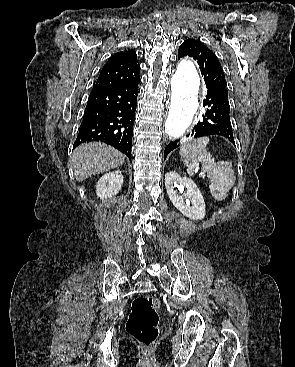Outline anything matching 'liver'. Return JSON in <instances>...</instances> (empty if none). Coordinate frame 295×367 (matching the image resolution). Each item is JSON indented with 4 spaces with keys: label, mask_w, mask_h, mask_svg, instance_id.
I'll list each match as a JSON object with an SVG mask.
<instances>
[{
    "label": "liver",
    "mask_w": 295,
    "mask_h": 367,
    "mask_svg": "<svg viewBox=\"0 0 295 367\" xmlns=\"http://www.w3.org/2000/svg\"><path fill=\"white\" fill-rule=\"evenodd\" d=\"M77 181L112 170L124 163V155L101 142L84 143L77 147L71 157Z\"/></svg>",
    "instance_id": "obj_1"
}]
</instances>
